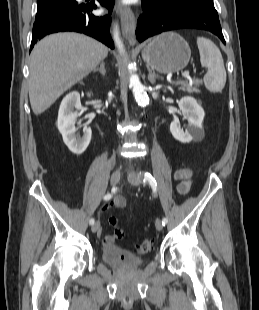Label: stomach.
I'll return each instance as SVG.
<instances>
[{"label": "stomach", "instance_id": "stomach-1", "mask_svg": "<svg viewBox=\"0 0 259 310\" xmlns=\"http://www.w3.org/2000/svg\"><path fill=\"white\" fill-rule=\"evenodd\" d=\"M190 57L188 43L180 35L172 32L155 37L142 50V58L146 65L164 74L184 69Z\"/></svg>", "mask_w": 259, "mask_h": 310}]
</instances>
